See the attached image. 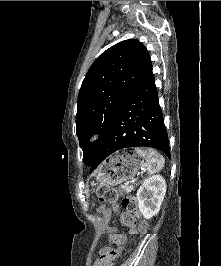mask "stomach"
<instances>
[{
  "mask_svg": "<svg viewBox=\"0 0 221 266\" xmlns=\"http://www.w3.org/2000/svg\"><path fill=\"white\" fill-rule=\"evenodd\" d=\"M144 165L136 149H127L109 156L97 169L98 182L115 186L131 179Z\"/></svg>",
  "mask_w": 221,
  "mask_h": 266,
  "instance_id": "1",
  "label": "stomach"
}]
</instances>
